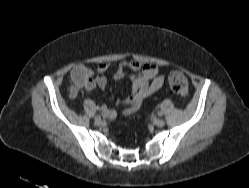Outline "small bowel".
<instances>
[{
	"mask_svg": "<svg viewBox=\"0 0 249 188\" xmlns=\"http://www.w3.org/2000/svg\"><path fill=\"white\" fill-rule=\"evenodd\" d=\"M108 69V63H100L97 67L98 74L93 77L91 71L84 66L74 68L71 71L73 82L71 93L75 95L80 88L87 92H92L96 88L104 89L107 85L105 73ZM77 73H80V78H77ZM113 78L115 80L128 78L131 81V94L118 102L123 108V114L129 116L136 113L144 100L163 86L165 75L158 65L131 61L121 63L115 70ZM101 110L110 119L116 117V112L106 106H101Z\"/></svg>",
	"mask_w": 249,
	"mask_h": 188,
	"instance_id": "small-bowel-1",
	"label": "small bowel"
}]
</instances>
